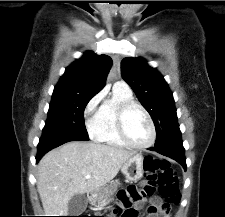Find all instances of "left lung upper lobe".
<instances>
[{
  "mask_svg": "<svg viewBox=\"0 0 225 217\" xmlns=\"http://www.w3.org/2000/svg\"><path fill=\"white\" fill-rule=\"evenodd\" d=\"M123 79L149 112L156 128L155 146L181 138L173 94L163 76L143 58H124Z\"/></svg>",
  "mask_w": 225,
  "mask_h": 217,
  "instance_id": "left-lung-upper-lobe-1",
  "label": "left lung upper lobe"
}]
</instances>
